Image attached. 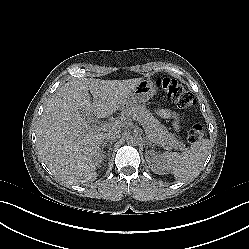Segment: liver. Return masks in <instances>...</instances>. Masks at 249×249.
Here are the masks:
<instances>
[{"mask_svg": "<svg viewBox=\"0 0 249 249\" xmlns=\"http://www.w3.org/2000/svg\"><path fill=\"white\" fill-rule=\"evenodd\" d=\"M135 84L81 80L62 87L39 122L37 147L43 161L54 169L74 174L79 181L95 180L96 157L104 134L101 130L118 127L108 123L96 128L90 125L91 116L112 115L127 103Z\"/></svg>", "mask_w": 249, "mask_h": 249, "instance_id": "1", "label": "liver"}]
</instances>
